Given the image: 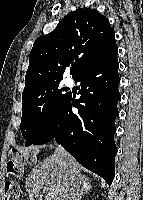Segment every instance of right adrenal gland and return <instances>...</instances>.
I'll use <instances>...</instances> for the list:
<instances>
[{"label": "right adrenal gland", "instance_id": "right-adrenal-gland-1", "mask_svg": "<svg viewBox=\"0 0 143 200\" xmlns=\"http://www.w3.org/2000/svg\"><path fill=\"white\" fill-rule=\"evenodd\" d=\"M92 186L89 182V180H84L83 181V189L81 190L80 194L78 195L76 200H81L82 197L85 195V193H87L88 191H91Z\"/></svg>", "mask_w": 143, "mask_h": 200}]
</instances>
